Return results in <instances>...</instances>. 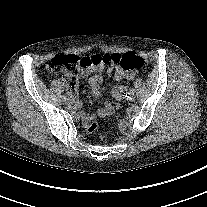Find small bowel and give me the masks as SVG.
<instances>
[{
	"instance_id": "c3829d8e",
	"label": "small bowel",
	"mask_w": 207,
	"mask_h": 207,
	"mask_svg": "<svg viewBox=\"0 0 207 207\" xmlns=\"http://www.w3.org/2000/svg\"><path fill=\"white\" fill-rule=\"evenodd\" d=\"M104 69L103 65H95L91 67L84 68L80 75L81 77H89V86L93 96L98 97L101 93V83H102V71ZM109 74H114V78L118 81L127 80L130 81L134 78L133 73H128L121 69L119 66L111 67L108 69ZM94 73V74H93ZM75 90V89H74ZM126 91V87L114 86L110 90V95L113 101H108L105 105L100 108L96 114H82L81 121L85 126L95 121L97 117L104 118L112 115L119 106V101L121 100L123 94ZM72 101L75 107H80V101L73 96Z\"/></svg>"
}]
</instances>
